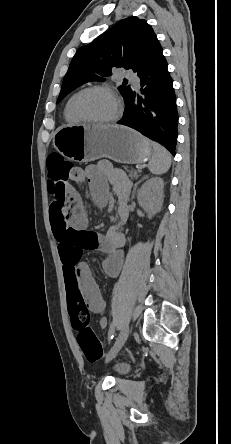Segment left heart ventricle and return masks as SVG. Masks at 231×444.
Returning a JSON list of instances; mask_svg holds the SVG:
<instances>
[{
    "label": "left heart ventricle",
    "instance_id": "left-heart-ventricle-1",
    "mask_svg": "<svg viewBox=\"0 0 231 444\" xmlns=\"http://www.w3.org/2000/svg\"><path fill=\"white\" fill-rule=\"evenodd\" d=\"M80 106L82 112L92 120H105L116 112L113 98L102 91H92L86 94Z\"/></svg>",
    "mask_w": 231,
    "mask_h": 444
}]
</instances>
